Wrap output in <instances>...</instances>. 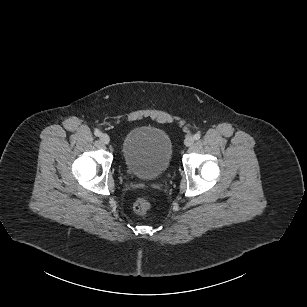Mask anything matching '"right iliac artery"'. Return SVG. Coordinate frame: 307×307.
<instances>
[{
  "mask_svg": "<svg viewBox=\"0 0 307 307\" xmlns=\"http://www.w3.org/2000/svg\"><path fill=\"white\" fill-rule=\"evenodd\" d=\"M94 134H95L96 136H100V135H101V132H100L98 129H96V130L94 131Z\"/></svg>",
  "mask_w": 307,
  "mask_h": 307,
  "instance_id": "82829eb1",
  "label": "right iliac artery"
}]
</instances>
